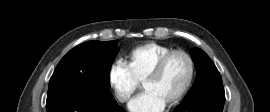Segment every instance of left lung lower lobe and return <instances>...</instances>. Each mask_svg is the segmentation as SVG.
<instances>
[{"instance_id": "1", "label": "left lung lower lobe", "mask_w": 270, "mask_h": 112, "mask_svg": "<svg viewBox=\"0 0 270 112\" xmlns=\"http://www.w3.org/2000/svg\"><path fill=\"white\" fill-rule=\"evenodd\" d=\"M225 93L212 91L200 100L181 103L173 112H223Z\"/></svg>"}]
</instances>
